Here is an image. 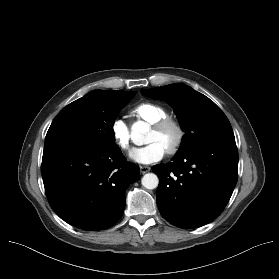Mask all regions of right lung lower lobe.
Wrapping results in <instances>:
<instances>
[{"instance_id": "obj_1", "label": "right lung lower lobe", "mask_w": 279, "mask_h": 279, "mask_svg": "<svg viewBox=\"0 0 279 279\" xmlns=\"http://www.w3.org/2000/svg\"><path fill=\"white\" fill-rule=\"evenodd\" d=\"M41 173L54 212L83 230H102L123 215L125 192L139 177L116 145L108 149L80 141L44 147Z\"/></svg>"}]
</instances>
